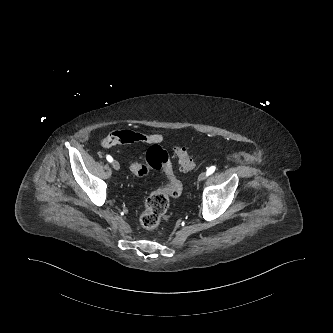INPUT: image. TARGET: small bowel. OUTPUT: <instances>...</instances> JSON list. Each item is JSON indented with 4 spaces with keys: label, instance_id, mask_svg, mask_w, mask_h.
Listing matches in <instances>:
<instances>
[{
    "label": "small bowel",
    "instance_id": "small-bowel-1",
    "mask_svg": "<svg viewBox=\"0 0 333 333\" xmlns=\"http://www.w3.org/2000/svg\"><path fill=\"white\" fill-rule=\"evenodd\" d=\"M116 144L144 143L149 145L160 144L164 136L159 133H140L129 130L115 131L110 135Z\"/></svg>",
    "mask_w": 333,
    "mask_h": 333
}]
</instances>
